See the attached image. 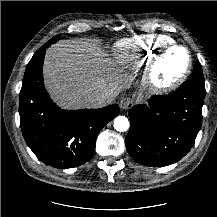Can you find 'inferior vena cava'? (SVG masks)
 I'll list each match as a JSON object with an SVG mask.
<instances>
[{
    "label": "inferior vena cava",
    "mask_w": 217,
    "mask_h": 217,
    "mask_svg": "<svg viewBox=\"0 0 217 217\" xmlns=\"http://www.w3.org/2000/svg\"><path fill=\"white\" fill-rule=\"evenodd\" d=\"M114 95L107 92H96L88 95L85 102L89 108H102L113 102Z\"/></svg>",
    "instance_id": "inferior-vena-cava-1"
}]
</instances>
